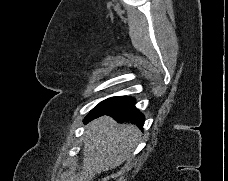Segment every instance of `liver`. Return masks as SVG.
I'll list each match as a JSON object with an SVG mask.
<instances>
[{
  "instance_id": "6515ba94",
  "label": "liver",
  "mask_w": 228,
  "mask_h": 181,
  "mask_svg": "<svg viewBox=\"0 0 228 181\" xmlns=\"http://www.w3.org/2000/svg\"><path fill=\"white\" fill-rule=\"evenodd\" d=\"M85 129L82 171L66 181H94L95 175L117 169L132 157L141 133L136 125H119L112 117L95 119Z\"/></svg>"
}]
</instances>
